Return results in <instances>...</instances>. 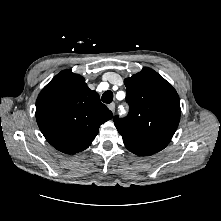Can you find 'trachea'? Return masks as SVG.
I'll list each match as a JSON object with an SVG mask.
<instances>
[{
	"label": "trachea",
	"instance_id": "3493384b",
	"mask_svg": "<svg viewBox=\"0 0 221 221\" xmlns=\"http://www.w3.org/2000/svg\"><path fill=\"white\" fill-rule=\"evenodd\" d=\"M102 102L104 103H111L113 101V93L111 91H106L102 95Z\"/></svg>",
	"mask_w": 221,
	"mask_h": 221
}]
</instances>
